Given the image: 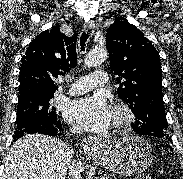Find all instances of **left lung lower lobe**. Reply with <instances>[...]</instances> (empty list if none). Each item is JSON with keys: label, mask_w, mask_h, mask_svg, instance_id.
Instances as JSON below:
<instances>
[{"label": "left lung lower lobe", "mask_w": 183, "mask_h": 179, "mask_svg": "<svg viewBox=\"0 0 183 179\" xmlns=\"http://www.w3.org/2000/svg\"><path fill=\"white\" fill-rule=\"evenodd\" d=\"M163 139H166L167 141H170V138L169 137H166V138L164 137Z\"/></svg>", "instance_id": "1"}]
</instances>
